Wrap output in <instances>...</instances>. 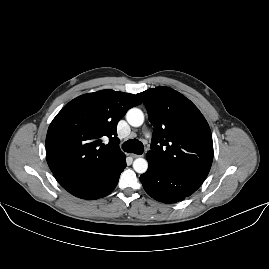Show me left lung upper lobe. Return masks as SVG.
<instances>
[{"label": "left lung upper lobe", "instance_id": "5c2ea615", "mask_svg": "<svg viewBox=\"0 0 269 269\" xmlns=\"http://www.w3.org/2000/svg\"><path fill=\"white\" fill-rule=\"evenodd\" d=\"M154 126L148 162L206 178L213 161L212 135L198 108L169 87L137 94Z\"/></svg>", "mask_w": 269, "mask_h": 269}]
</instances>
